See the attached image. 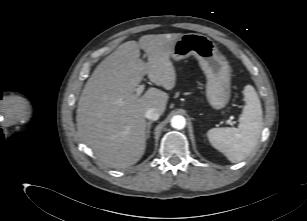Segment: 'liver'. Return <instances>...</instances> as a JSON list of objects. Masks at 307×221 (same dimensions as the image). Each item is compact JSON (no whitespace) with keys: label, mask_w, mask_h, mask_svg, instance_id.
<instances>
[{"label":"liver","mask_w":307,"mask_h":221,"mask_svg":"<svg viewBox=\"0 0 307 221\" xmlns=\"http://www.w3.org/2000/svg\"><path fill=\"white\" fill-rule=\"evenodd\" d=\"M181 35H144L138 42H124L96 67L85 84L77 108V133L106 166L127 168L143 156L144 114L150 108L163 114L169 95L153 87L141 97L135 91L144 75L166 90L174 88L176 72L170 55ZM140 49L147 54V63L140 59Z\"/></svg>","instance_id":"6515ba94"}]
</instances>
